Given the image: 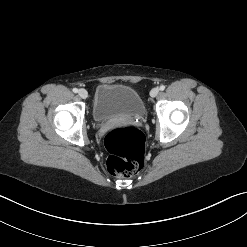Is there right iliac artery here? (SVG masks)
I'll use <instances>...</instances> for the list:
<instances>
[{
    "label": "right iliac artery",
    "instance_id": "82829eb1",
    "mask_svg": "<svg viewBox=\"0 0 247 247\" xmlns=\"http://www.w3.org/2000/svg\"><path fill=\"white\" fill-rule=\"evenodd\" d=\"M73 92L74 93H77L78 92V89L77 88H73Z\"/></svg>",
    "mask_w": 247,
    "mask_h": 247
}]
</instances>
